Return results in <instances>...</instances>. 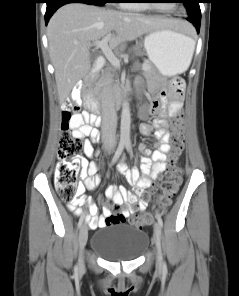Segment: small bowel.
<instances>
[{
  "label": "small bowel",
  "mask_w": 239,
  "mask_h": 296,
  "mask_svg": "<svg viewBox=\"0 0 239 296\" xmlns=\"http://www.w3.org/2000/svg\"><path fill=\"white\" fill-rule=\"evenodd\" d=\"M183 89L184 82L181 79H175L173 81V91L169 103H167L166 91L160 92L157 98L152 102L149 112L151 114H157L159 117L155 118L152 123L143 124L141 126V132L145 135L153 134L159 141L158 148L153 152L146 150V155L141 159L140 171L136 168L128 169L124 164L119 165L118 172L125 177L131 188H118L115 185L107 188L106 196L110 198L115 205L121 206L124 202L130 204L136 203L144 189L151 185L152 179L166 170L167 154L170 151V123L167 116H176L180 111L182 107ZM142 116H145V114H142ZM95 119L96 117L94 115L84 111L73 122L75 124V134L86 138L84 141V153L87 157L93 156V142L100 138L99 130L91 126V124H94ZM82 165L87 175L84 178L83 186L80 188L81 191L94 188L101 180L100 176L97 174L99 169L98 163H88L83 160ZM145 207V201L141 200L138 202L137 210L143 211ZM134 211L135 210L132 208L123 209L121 214L126 219L134 213ZM90 213L91 216H85L83 212L76 211L77 215L86 219L91 228H102L107 225L106 218L110 215L108 207H104L102 209V215L98 217V208L95 204H92Z\"/></svg>",
  "instance_id": "1"
}]
</instances>
